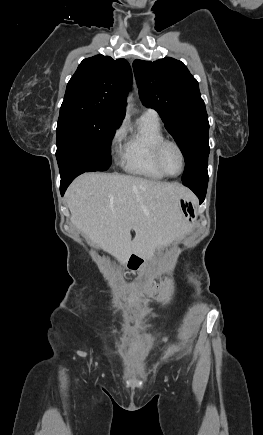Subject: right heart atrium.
Masks as SVG:
<instances>
[{"label":"right heart atrium","instance_id":"right-heart-atrium-1","mask_svg":"<svg viewBox=\"0 0 263 435\" xmlns=\"http://www.w3.org/2000/svg\"><path fill=\"white\" fill-rule=\"evenodd\" d=\"M124 137V127L122 125L117 126L110 137V147L115 149L117 145L122 141Z\"/></svg>","mask_w":263,"mask_h":435}]
</instances>
